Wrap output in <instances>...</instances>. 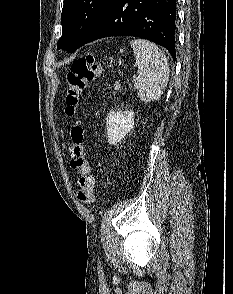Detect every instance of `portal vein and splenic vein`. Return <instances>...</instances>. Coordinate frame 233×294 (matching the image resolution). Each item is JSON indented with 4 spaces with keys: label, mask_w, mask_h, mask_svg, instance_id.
<instances>
[{
    "label": "portal vein and splenic vein",
    "mask_w": 233,
    "mask_h": 294,
    "mask_svg": "<svg viewBox=\"0 0 233 294\" xmlns=\"http://www.w3.org/2000/svg\"><path fill=\"white\" fill-rule=\"evenodd\" d=\"M133 79L135 80L136 79V76H133Z\"/></svg>",
    "instance_id": "18ae733b"
}]
</instances>
